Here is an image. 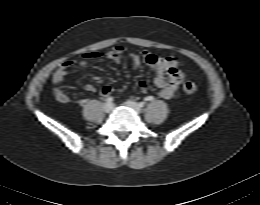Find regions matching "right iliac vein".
<instances>
[{
    "instance_id": "63e3f726",
    "label": "right iliac vein",
    "mask_w": 260,
    "mask_h": 205,
    "mask_svg": "<svg viewBox=\"0 0 260 205\" xmlns=\"http://www.w3.org/2000/svg\"><path fill=\"white\" fill-rule=\"evenodd\" d=\"M103 109L106 113H110L113 110V104L106 103V104H104Z\"/></svg>"
}]
</instances>
